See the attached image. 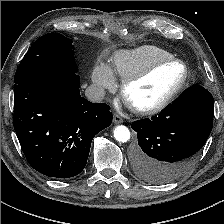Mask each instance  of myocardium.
<instances>
[{"instance_id":"f54148a6","label":"myocardium","mask_w":224,"mask_h":224,"mask_svg":"<svg viewBox=\"0 0 224 224\" xmlns=\"http://www.w3.org/2000/svg\"><path fill=\"white\" fill-rule=\"evenodd\" d=\"M170 63H178L183 68L182 79L173 88V90L165 98H163L160 102H158L157 104H155L153 106L139 107V106H136L135 104H133L129 97V88L133 84H135V83L145 79L149 75H151L158 68H160L164 65L170 64ZM188 79H189V69H188L187 65L182 60H180L178 58L169 57V58H165V59L156 60L153 63H151L150 65H148L147 67H145L144 69H142L141 71L126 77L123 80V83L121 86V93H122V96H123L125 102L129 105V107L132 110H134L135 112H137L141 115H152V114H156V113L162 111L163 109H165L166 107H168L173 102V100L180 94V92L184 89V87L186 86V84L188 82Z\"/></svg>"}]
</instances>
